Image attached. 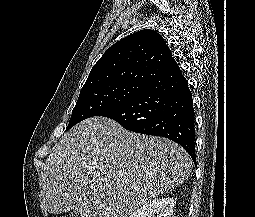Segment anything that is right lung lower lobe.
<instances>
[{"instance_id": "1", "label": "right lung lower lobe", "mask_w": 255, "mask_h": 217, "mask_svg": "<svg viewBox=\"0 0 255 217\" xmlns=\"http://www.w3.org/2000/svg\"><path fill=\"white\" fill-rule=\"evenodd\" d=\"M98 116L113 119L133 132L173 140L196 162L192 93L180 69L149 83L130 102Z\"/></svg>"}]
</instances>
